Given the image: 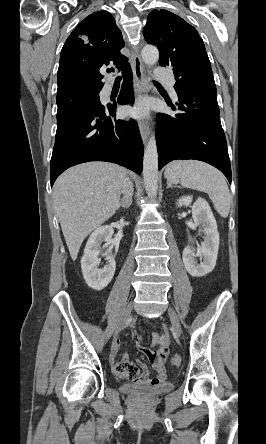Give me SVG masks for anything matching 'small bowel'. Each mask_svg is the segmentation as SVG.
Returning <instances> with one entry per match:
<instances>
[{"mask_svg":"<svg viewBox=\"0 0 266 444\" xmlns=\"http://www.w3.org/2000/svg\"><path fill=\"white\" fill-rule=\"evenodd\" d=\"M152 339L157 346L156 350H151L143 346L139 336L136 337L135 344L137 349L150 361L157 375L151 378L145 365L141 361H138V365L136 366L130 362L128 354H124L119 362L113 364V372L118 378L145 386H156L166 381L165 364L170 344L168 330L163 328L161 333H154ZM118 349L119 340H116L113 345V352L117 353Z\"/></svg>","mask_w":266,"mask_h":444,"instance_id":"1","label":"small bowel"}]
</instances>
